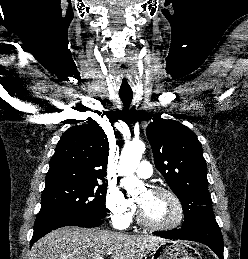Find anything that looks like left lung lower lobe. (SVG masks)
Wrapping results in <instances>:
<instances>
[{"label": "left lung lower lobe", "instance_id": "1", "mask_svg": "<svg viewBox=\"0 0 248 259\" xmlns=\"http://www.w3.org/2000/svg\"><path fill=\"white\" fill-rule=\"evenodd\" d=\"M166 239H183L203 243L209 246L220 259L223 257V239L216 221L203 222L176 231L154 233Z\"/></svg>", "mask_w": 248, "mask_h": 259}]
</instances>
